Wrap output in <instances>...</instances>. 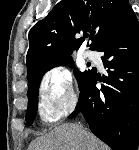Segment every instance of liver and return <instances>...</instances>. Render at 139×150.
Instances as JSON below:
<instances>
[{
	"mask_svg": "<svg viewBox=\"0 0 139 150\" xmlns=\"http://www.w3.org/2000/svg\"><path fill=\"white\" fill-rule=\"evenodd\" d=\"M28 150H108V147L90 131L66 123L36 138Z\"/></svg>",
	"mask_w": 139,
	"mask_h": 150,
	"instance_id": "6515ba94",
	"label": "liver"
}]
</instances>
